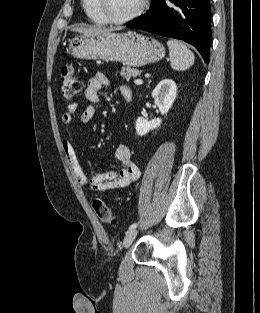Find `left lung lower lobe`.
<instances>
[{"label": "left lung lower lobe", "instance_id": "1", "mask_svg": "<svg viewBox=\"0 0 260 313\" xmlns=\"http://www.w3.org/2000/svg\"><path fill=\"white\" fill-rule=\"evenodd\" d=\"M210 23V0H153L149 10L127 27L184 40L208 63Z\"/></svg>", "mask_w": 260, "mask_h": 313}]
</instances>
